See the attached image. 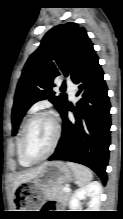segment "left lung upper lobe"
Listing matches in <instances>:
<instances>
[{
    "mask_svg": "<svg viewBox=\"0 0 123 219\" xmlns=\"http://www.w3.org/2000/svg\"><path fill=\"white\" fill-rule=\"evenodd\" d=\"M94 56L97 55L93 44L86 30L78 24H60L48 31L27 60L19 79L12 109L13 135L26 111L39 100L48 99L61 113L67 96L55 95L54 78L63 75L73 81Z\"/></svg>",
    "mask_w": 123,
    "mask_h": 219,
    "instance_id": "5c2ea615",
    "label": "left lung upper lobe"
}]
</instances>
